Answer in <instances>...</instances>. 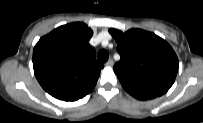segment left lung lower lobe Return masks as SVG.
Instances as JSON below:
<instances>
[{
  "label": "left lung lower lobe",
  "instance_id": "left-lung-lower-lobe-1",
  "mask_svg": "<svg viewBox=\"0 0 203 123\" xmlns=\"http://www.w3.org/2000/svg\"><path fill=\"white\" fill-rule=\"evenodd\" d=\"M129 94H131L133 97L137 98V99H140V100H148V99H152V98H155L153 96H150V95H146L144 93H140V92H137V91H133V90H128V89H125Z\"/></svg>",
  "mask_w": 203,
  "mask_h": 123
}]
</instances>
